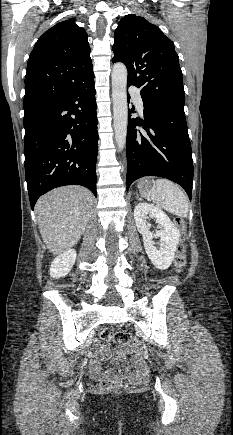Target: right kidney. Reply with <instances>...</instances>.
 <instances>
[{"instance_id": "1", "label": "right kidney", "mask_w": 233, "mask_h": 435, "mask_svg": "<svg viewBox=\"0 0 233 435\" xmlns=\"http://www.w3.org/2000/svg\"><path fill=\"white\" fill-rule=\"evenodd\" d=\"M77 253L74 249H68L59 256H57L50 267V276L53 278H59L67 275L76 260Z\"/></svg>"}]
</instances>
